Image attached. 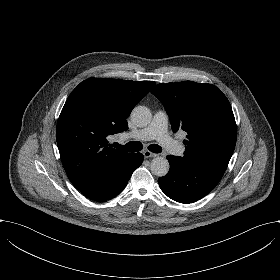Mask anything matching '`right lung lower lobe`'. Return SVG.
Instances as JSON below:
<instances>
[{
    "mask_svg": "<svg viewBox=\"0 0 280 280\" xmlns=\"http://www.w3.org/2000/svg\"><path fill=\"white\" fill-rule=\"evenodd\" d=\"M144 156L141 153H135L132 159L118 169L116 172L108 175L106 180L100 185L99 190L92 197H88L94 201H106L118 195L127 185L133 171L143 162Z\"/></svg>",
    "mask_w": 280,
    "mask_h": 280,
    "instance_id": "98d812e1",
    "label": "right lung lower lobe"
}]
</instances>
